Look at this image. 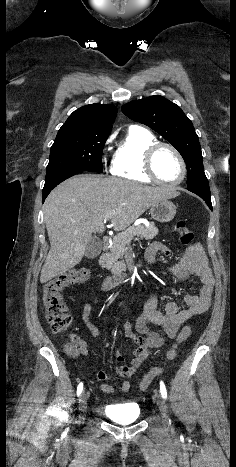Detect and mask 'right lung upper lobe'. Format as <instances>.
Wrapping results in <instances>:
<instances>
[{
    "label": "right lung upper lobe",
    "instance_id": "cb5924a9",
    "mask_svg": "<svg viewBox=\"0 0 236 467\" xmlns=\"http://www.w3.org/2000/svg\"><path fill=\"white\" fill-rule=\"evenodd\" d=\"M117 114L114 105L90 104L74 111L60 131L110 133Z\"/></svg>",
    "mask_w": 236,
    "mask_h": 467
}]
</instances>
